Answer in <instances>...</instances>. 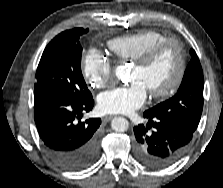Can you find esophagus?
<instances>
[{
    "mask_svg": "<svg viewBox=\"0 0 223 188\" xmlns=\"http://www.w3.org/2000/svg\"><path fill=\"white\" fill-rule=\"evenodd\" d=\"M113 118V116H105L102 120L105 122L110 121Z\"/></svg>",
    "mask_w": 223,
    "mask_h": 188,
    "instance_id": "esophagus-1",
    "label": "esophagus"
}]
</instances>
